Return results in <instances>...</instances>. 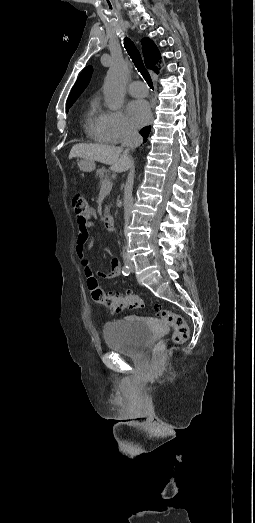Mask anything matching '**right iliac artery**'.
<instances>
[{
	"label": "right iliac artery",
	"instance_id": "obj_1",
	"mask_svg": "<svg viewBox=\"0 0 255 523\" xmlns=\"http://www.w3.org/2000/svg\"><path fill=\"white\" fill-rule=\"evenodd\" d=\"M122 273H123L124 275H129L130 270H129V267H128L127 265H125V266L122 267Z\"/></svg>",
	"mask_w": 255,
	"mask_h": 523
}]
</instances>
